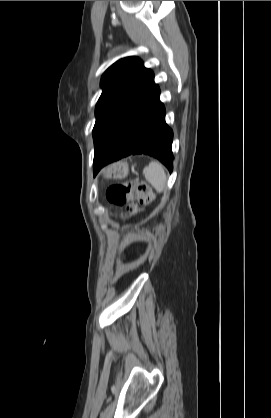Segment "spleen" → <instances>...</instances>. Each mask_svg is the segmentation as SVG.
I'll return each mask as SVG.
<instances>
[{"label":"spleen","mask_w":271,"mask_h":418,"mask_svg":"<svg viewBox=\"0 0 271 418\" xmlns=\"http://www.w3.org/2000/svg\"><path fill=\"white\" fill-rule=\"evenodd\" d=\"M143 174L157 192L161 193L165 189L167 177L163 166L159 162H150V164L143 169Z\"/></svg>","instance_id":"1"}]
</instances>
